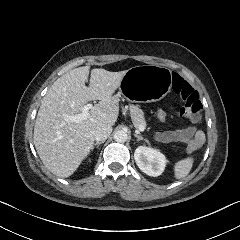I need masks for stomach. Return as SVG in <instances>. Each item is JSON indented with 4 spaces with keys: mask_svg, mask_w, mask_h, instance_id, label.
<instances>
[{
    "mask_svg": "<svg viewBox=\"0 0 240 240\" xmlns=\"http://www.w3.org/2000/svg\"><path fill=\"white\" fill-rule=\"evenodd\" d=\"M171 73L165 67L135 66L126 71L119 84L120 93L128 101L155 102L171 89Z\"/></svg>",
    "mask_w": 240,
    "mask_h": 240,
    "instance_id": "0dacf381",
    "label": "stomach"
}]
</instances>
